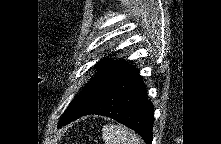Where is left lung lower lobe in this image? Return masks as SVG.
I'll return each instance as SVG.
<instances>
[{
	"label": "left lung lower lobe",
	"mask_w": 221,
	"mask_h": 144,
	"mask_svg": "<svg viewBox=\"0 0 221 144\" xmlns=\"http://www.w3.org/2000/svg\"><path fill=\"white\" fill-rule=\"evenodd\" d=\"M146 96L139 71L130 66L94 106L77 118L88 114L113 118L137 132L146 144H152L154 109Z\"/></svg>",
	"instance_id": "obj_1"
}]
</instances>
